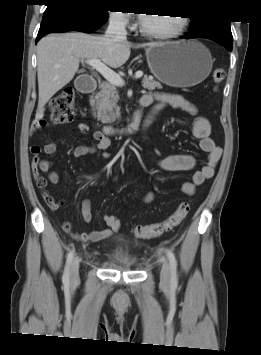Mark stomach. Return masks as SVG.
<instances>
[{
  "label": "stomach",
  "instance_id": "obj_1",
  "mask_svg": "<svg viewBox=\"0 0 261 355\" xmlns=\"http://www.w3.org/2000/svg\"><path fill=\"white\" fill-rule=\"evenodd\" d=\"M152 74L173 87H191L204 81L212 70L209 50L197 40L156 43L146 49Z\"/></svg>",
  "mask_w": 261,
  "mask_h": 355
}]
</instances>
